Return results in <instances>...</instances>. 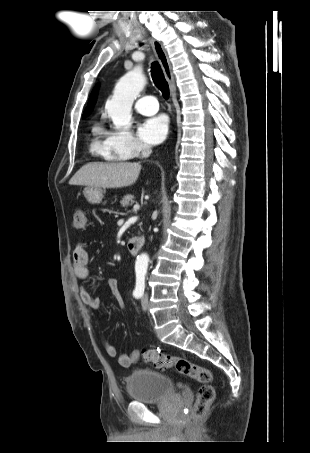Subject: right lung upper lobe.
<instances>
[{
  "instance_id": "cb5924a9",
  "label": "right lung upper lobe",
  "mask_w": 310,
  "mask_h": 453,
  "mask_svg": "<svg viewBox=\"0 0 310 453\" xmlns=\"http://www.w3.org/2000/svg\"><path fill=\"white\" fill-rule=\"evenodd\" d=\"M97 92H98V86H96L91 95H90V98H89V102H88V106L87 108L85 109L84 113H83V116L82 118H85L86 116H88L90 114V112L92 111L93 109V106L96 102V98H97Z\"/></svg>"
}]
</instances>
